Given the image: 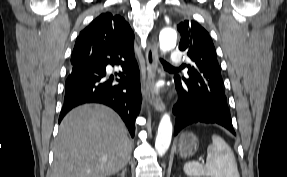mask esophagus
Returning <instances> with one entry per match:
<instances>
[{
    "label": "esophagus",
    "mask_w": 287,
    "mask_h": 177,
    "mask_svg": "<svg viewBox=\"0 0 287 177\" xmlns=\"http://www.w3.org/2000/svg\"><path fill=\"white\" fill-rule=\"evenodd\" d=\"M158 45L156 38H152L148 42L146 49V69H147V93L149 102L154 110L162 113L164 110V103L155 88V79L157 73Z\"/></svg>",
    "instance_id": "1"
}]
</instances>
